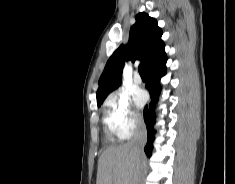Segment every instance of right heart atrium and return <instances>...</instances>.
<instances>
[{
	"mask_svg": "<svg viewBox=\"0 0 235 184\" xmlns=\"http://www.w3.org/2000/svg\"><path fill=\"white\" fill-rule=\"evenodd\" d=\"M103 109L107 125L121 139H129L142 127L140 118L131 108L130 97L120 90L106 97Z\"/></svg>",
	"mask_w": 235,
	"mask_h": 184,
	"instance_id": "right-heart-atrium-1",
	"label": "right heart atrium"
}]
</instances>
